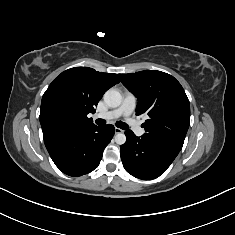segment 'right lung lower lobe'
Masks as SVG:
<instances>
[{"instance_id":"98d812e1","label":"right lung lower lobe","mask_w":235,"mask_h":235,"mask_svg":"<svg viewBox=\"0 0 235 235\" xmlns=\"http://www.w3.org/2000/svg\"><path fill=\"white\" fill-rule=\"evenodd\" d=\"M114 133V126L110 124L75 129L45 140V146L63 173L77 177L98 167Z\"/></svg>"}]
</instances>
